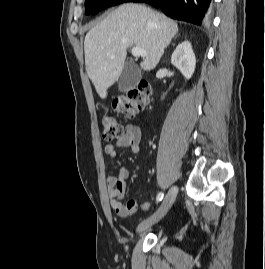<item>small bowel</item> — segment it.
<instances>
[{"label":"small bowel","instance_id":"obj_1","mask_svg":"<svg viewBox=\"0 0 265 269\" xmlns=\"http://www.w3.org/2000/svg\"><path fill=\"white\" fill-rule=\"evenodd\" d=\"M142 136V127L140 124H129L123 135H121L115 143H108L104 151L111 158L117 156V149L127 148L132 153H137L140 150V140ZM130 169L122 166L116 175L110 174L107 177L106 184L110 205L121 217H127L138 209V204L135 200H129L126 203L122 202L126 190V180L130 177ZM152 203V199L143 204L144 210L148 209Z\"/></svg>","mask_w":265,"mask_h":269}]
</instances>
